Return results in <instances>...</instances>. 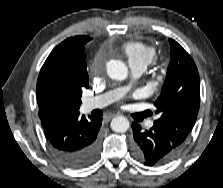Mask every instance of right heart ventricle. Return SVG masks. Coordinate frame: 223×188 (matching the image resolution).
<instances>
[{
  "label": "right heart ventricle",
  "mask_w": 223,
  "mask_h": 188,
  "mask_svg": "<svg viewBox=\"0 0 223 188\" xmlns=\"http://www.w3.org/2000/svg\"><path fill=\"white\" fill-rule=\"evenodd\" d=\"M121 52L127 57L129 63L149 65L156 56V49L144 42L127 41L121 47Z\"/></svg>",
  "instance_id": "e07e8e85"
}]
</instances>
